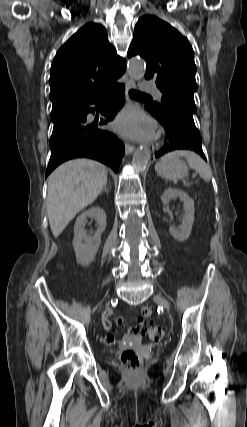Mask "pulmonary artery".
I'll return each instance as SVG.
<instances>
[{
    "label": "pulmonary artery",
    "instance_id": "obj_1",
    "mask_svg": "<svg viewBox=\"0 0 247 427\" xmlns=\"http://www.w3.org/2000/svg\"><path fill=\"white\" fill-rule=\"evenodd\" d=\"M143 90L154 93L159 99L162 97V93L151 84L145 83L143 85Z\"/></svg>",
    "mask_w": 247,
    "mask_h": 427
}]
</instances>
